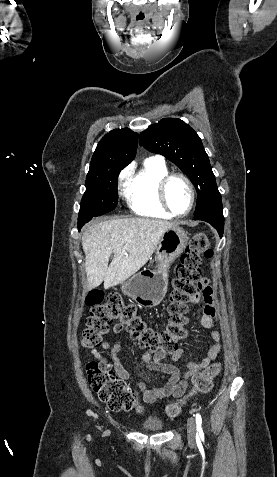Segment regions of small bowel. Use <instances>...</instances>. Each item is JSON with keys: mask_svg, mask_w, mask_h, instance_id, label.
<instances>
[{"mask_svg": "<svg viewBox=\"0 0 277 477\" xmlns=\"http://www.w3.org/2000/svg\"><path fill=\"white\" fill-rule=\"evenodd\" d=\"M202 292L193 302L203 307V315L201 318L202 325L210 331V335L214 340L208 346L206 356L199 362L191 361L187 364L179 362L181 356L184 354L183 349H177L173 353L157 352L152 355L150 352H145L142 355V361L151 371H157L169 376L168 381L161 387H152L150 380L141 374L139 375L138 386L142 392L143 399L146 403H154L159 399L164 398H179L188 388L189 381L198 372L204 371L216 359L221 350V336L214 330L215 320L217 318V300L214 290L209 286L208 281H202ZM123 326L117 324L114 326V333H120ZM101 347L110 351L111 365L114 372L122 381L129 380L131 372L124 366L120 357L122 347L118 343H112L110 339L105 338ZM91 354L97 361L108 363L107 358L96 348L91 349ZM170 359V361H168ZM109 364V363H108ZM110 366V364H109Z\"/></svg>", "mask_w": 277, "mask_h": 477, "instance_id": "obj_1", "label": "small bowel"}]
</instances>
